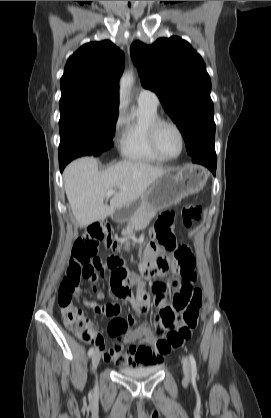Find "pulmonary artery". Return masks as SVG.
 Returning a JSON list of instances; mask_svg holds the SVG:
<instances>
[{"instance_id": "obj_1", "label": "pulmonary artery", "mask_w": 271, "mask_h": 418, "mask_svg": "<svg viewBox=\"0 0 271 418\" xmlns=\"http://www.w3.org/2000/svg\"><path fill=\"white\" fill-rule=\"evenodd\" d=\"M138 103L148 104L153 107H157L159 104V98L153 91L149 89H142L137 97Z\"/></svg>"}]
</instances>
